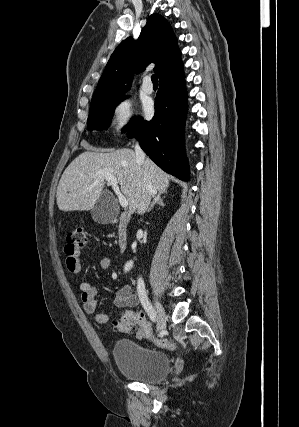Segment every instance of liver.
<instances>
[{"instance_id": "1", "label": "liver", "mask_w": 299, "mask_h": 427, "mask_svg": "<svg viewBox=\"0 0 299 427\" xmlns=\"http://www.w3.org/2000/svg\"><path fill=\"white\" fill-rule=\"evenodd\" d=\"M103 173L116 177L130 214L137 209L145 178L151 182L154 194L165 192L169 186V176L163 170L150 159L138 160L131 149L110 153L86 151L75 158L61 176L56 194L58 208L65 212L93 209L105 186Z\"/></svg>"}]
</instances>
